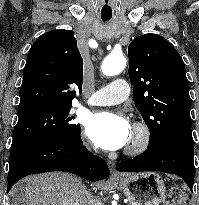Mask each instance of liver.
I'll return each mask as SVG.
<instances>
[{
    "instance_id": "liver-1",
    "label": "liver",
    "mask_w": 199,
    "mask_h": 205,
    "mask_svg": "<svg viewBox=\"0 0 199 205\" xmlns=\"http://www.w3.org/2000/svg\"><path fill=\"white\" fill-rule=\"evenodd\" d=\"M22 195L15 196L13 205H87L86 187L77 176L51 172L25 179Z\"/></svg>"
}]
</instances>
